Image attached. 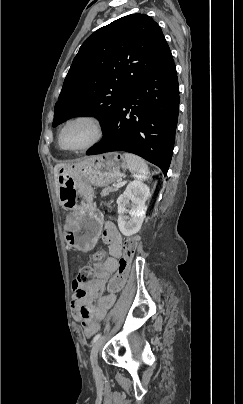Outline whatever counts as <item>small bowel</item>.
<instances>
[{"mask_svg": "<svg viewBox=\"0 0 243 404\" xmlns=\"http://www.w3.org/2000/svg\"><path fill=\"white\" fill-rule=\"evenodd\" d=\"M103 242L108 245L111 257L97 265V279L89 284L74 281L72 284L71 308L74 318L81 322L86 336L93 335L115 302L114 293L104 294L105 283L110 274L118 268L121 252V236L112 223H106L102 234ZM97 299V303L94 301Z\"/></svg>", "mask_w": 243, "mask_h": 404, "instance_id": "c3829d8e", "label": "small bowel"}]
</instances>
